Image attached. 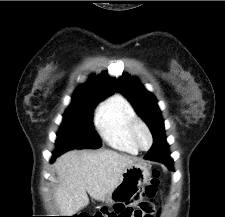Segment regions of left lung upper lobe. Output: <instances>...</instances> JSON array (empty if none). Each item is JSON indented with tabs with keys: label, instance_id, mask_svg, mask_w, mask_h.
<instances>
[{
	"label": "left lung upper lobe",
	"instance_id": "obj_1",
	"mask_svg": "<svg viewBox=\"0 0 225 217\" xmlns=\"http://www.w3.org/2000/svg\"><path fill=\"white\" fill-rule=\"evenodd\" d=\"M116 83V90L128 98L137 114L149 126L156 146L161 147L166 154H169L164 135V122L156 98L136 78L130 77L128 74H123Z\"/></svg>",
	"mask_w": 225,
	"mask_h": 217
}]
</instances>
